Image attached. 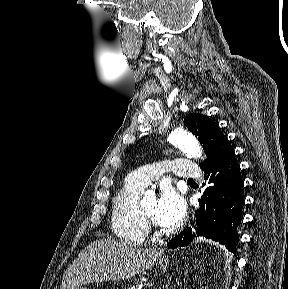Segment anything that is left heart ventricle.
I'll return each instance as SVG.
<instances>
[{
    "label": "left heart ventricle",
    "mask_w": 288,
    "mask_h": 289,
    "mask_svg": "<svg viewBox=\"0 0 288 289\" xmlns=\"http://www.w3.org/2000/svg\"><path fill=\"white\" fill-rule=\"evenodd\" d=\"M143 212L152 220L155 219V213L157 208L156 200H149L141 206Z\"/></svg>",
    "instance_id": "obj_1"
}]
</instances>
